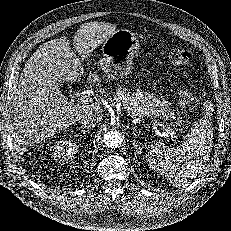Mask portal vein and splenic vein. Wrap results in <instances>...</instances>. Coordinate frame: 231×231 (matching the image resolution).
Here are the masks:
<instances>
[{"label": "portal vein and splenic vein", "instance_id": "obj_1", "mask_svg": "<svg viewBox=\"0 0 231 231\" xmlns=\"http://www.w3.org/2000/svg\"><path fill=\"white\" fill-rule=\"evenodd\" d=\"M78 102L80 103H89L92 102V98H89V94L86 92H82V95L78 98ZM158 126H161L163 130L165 131L167 136H172L173 138L175 137V132L170 129L167 125L161 122H156Z\"/></svg>", "mask_w": 231, "mask_h": 231}]
</instances>
